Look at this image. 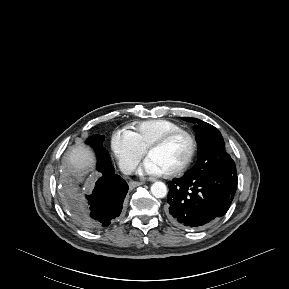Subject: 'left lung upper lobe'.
Returning a JSON list of instances; mask_svg holds the SVG:
<instances>
[{"mask_svg":"<svg viewBox=\"0 0 289 289\" xmlns=\"http://www.w3.org/2000/svg\"><path fill=\"white\" fill-rule=\"evenodd\" d=\"M184 121L196 124V140L198 143V162L191 173L210 171L225 166L237 174L234 161L225 150L223 137L214 126L192 117H182Z\"/></svg>","mask_w":289,"mask_h":289,"instance_id":"1","label":"left lung upper lobe"}]
</instances>
